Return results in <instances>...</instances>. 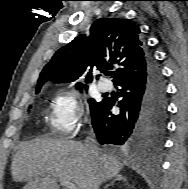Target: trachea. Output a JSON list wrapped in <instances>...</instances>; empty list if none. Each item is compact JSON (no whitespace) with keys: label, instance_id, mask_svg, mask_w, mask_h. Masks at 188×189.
Wrapping results in <instances>:
<instances>
[{"label":"trachea","instance_id":"trachea-1","mask_svg":"<svg viewBox=\"0 0 188 189\" xmlns=\"http://www.w3.org/2000/svg\"><path fill=\"white\" fill-rule=\"evenodd\" d=\"M111 74H112V73H108L107 75H109V76H110Z\"/></svg>","mask_w":188,"mask_h":189}]
</instances>
